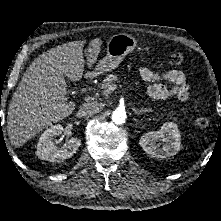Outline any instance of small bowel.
Wrapping results in <instances>:
<instances>
[{
	"label": "small bowel",
	"instance_id": "1",
	"mask_svg": "<svg viewBox=\"0 0 221 221\" xmlns=\"http://www.w3.org/2000/svg\"><path fill=\"white\" fill-rule=\"evenodd\" d=\"M139 75L144 81L152 82L147 92L153 99L176 97L180 102H186L189 97L190 85L180 70H170L160 74L150 68L142 67L139 69ZM162 80L170 85L163 84Z\"/></svg>",
	"mask_w": 221,
	"mask_h": 221
}]
</instances>
